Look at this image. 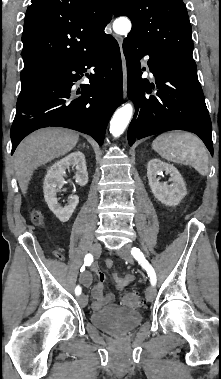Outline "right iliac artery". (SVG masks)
<instances>
[{"label":"right iliac artery","instance_id":"82829eb1","mask_svg":"<svg viewBox=\"0 0 221 379\" xmlns=\"http://www.w3.org/2000/svg\"><path fill=\"white\" fill-rule=\"evenodd\" d=\"M92 262H93V256H92V254H87L86 256H85V258H84V266H90L91 264H92ZM84 269H85V267H84ZM81 287L78 285L76 288H75V294L77 295V296H79L80 294H81Z\"/></svg>","mask_w":221,"mask_h":379}]
</instances>
